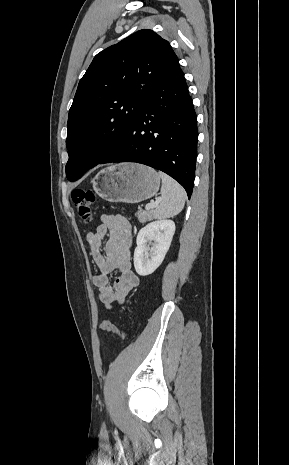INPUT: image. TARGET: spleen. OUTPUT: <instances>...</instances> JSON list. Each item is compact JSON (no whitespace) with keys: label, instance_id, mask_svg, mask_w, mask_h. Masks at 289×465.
<instances>
[{"label":"spleen","instance_id":"obj_1","mask_svg":"<svg viewBox=\"0 0 289 465\" xmlns=\"http://www.w3.org/2000/svg\"><path fill=\"white\" fill-rule=\"evenodd\" d=\"M162 179L161 201L153 213L154 218L164 219L179 214L185 204L186 192L183 187L163 172L158 173Z\"/></svg>","mask_w":289,"mask_h":465}]
</instances>
